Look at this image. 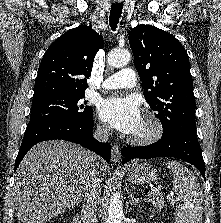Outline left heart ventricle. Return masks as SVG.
Returning a JSON list of instances; mask_svg holds the SVG:
<instances>
[{
  "label": "left heart ventricle",
  "mask_w": 221,
  "mask_h": 223,
  "mask_svg": "<svg viewBox=\"0 0 221 223\" xmlns=\"http://www.w3.org/2000/svg\"><path fill=\"white\" fill-rule=\"evenodd\" d=\"M149 130V125L142 120L139 128L136 130V132L133 134V136H138V135H142L144 133H146Z\"/></svg>",
  "instance_id": "left-heart-ventricle-1"
}]
</instances>
